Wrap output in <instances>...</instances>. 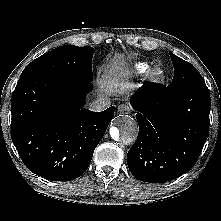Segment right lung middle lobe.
Masks as SVG:
<instances>
[{
	"instance_id": "obj_1",
	"label": "right lung middle lobe",
	"mask_w": 221,
	"mask_h": 221,
	"mask_svg": "<svg viewBox=\"0 0 221 221\" xmlns=\"http://www.w3.org/2000/svg\"><path fill=\"white\" fill-rule=\"evenodd\" d=\"M92 47L60 46L33 60L23 70L28 74H46L92 80Z\"/></svg>"
}]
</instances>
